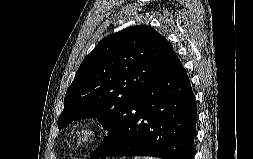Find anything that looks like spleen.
<instances>
[{"label": "spleen", "mask_w": 253, "mask_h": 159, "mask_svg": "<svg viewBox=\"0 0 253 159\" xmlns=\"http://www.w3.org/2000/svg\"><path fill=\"white\" fill-rule=\"evenodd\" d=\"M134 159H159L155 157H135Z\"/></svg>", "instance_id": "spleen-1"}]
</instances>
